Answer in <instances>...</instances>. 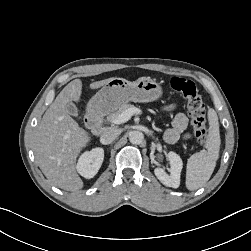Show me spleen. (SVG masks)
<instances>
[{"label":"spleen","instance_id":"spleen-1","mask_svg":"<svg viewBox=\"0 0 251 251\" xmlns=\"http://www.w3.org/2000/svg\"><path fill=\"white\" fill-rule=\"evenodd\" d=\"M209 134L205 148L193 154L187 161L186 187L196 190L202 187L211 177L219 157L221 144L218 116L214 109L208 111Z\"/></svg>","mask_w":251,"mask_h":251}]
</instances>
